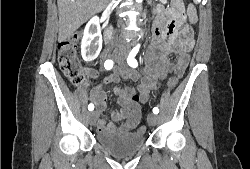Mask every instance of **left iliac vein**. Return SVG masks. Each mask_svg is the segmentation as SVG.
Listing matches in <instances>:
<instances>
[{
	"label": "left iliac vein",
	"mask_w": 250,
	"mask_h": 169,
	"mask_svg": "<svg viewBox=\"0 0 250 169\" xmlns=\"http://www.w3.org/2000/svg\"><path fill=\"white\" fill-rule=\"evenodd\" d=\"M121 65L123 66V63ZM147 121H148L149 125H151V126L156 125L158 122V116L154 113H151L148 115Z\"/></svg>",
	"instance_id": "left-iliac-vein-1"
}]
</instances>
